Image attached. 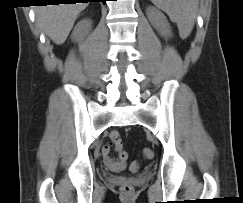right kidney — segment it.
Segmentation results:
<instances>
[{"instance_id":"ca27d5eb","label":"right kidney","mask_w":243,"mask_h":203,"mask_svg":"<svg viewBox=\"0 0 243 203\" xmlns=\"http://www.w3.org/2000/svg\"><path fill=\"white\" fill-rule=\"evenodd\" d=\"M91 28V22L89 20H81L74 28L72 39L79 40L88 33Z\"/></svg>"}]
</instances>
